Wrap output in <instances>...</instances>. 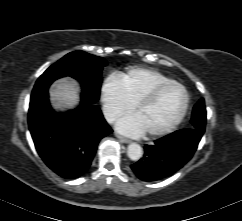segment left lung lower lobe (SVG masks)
Here are the masks:
<instances>
[{"label": "left lung lower lobe", "instance_id": "left-lung-lower-lobe-1", "mask_svg": "<svg viewBox=\"0 0 242 221\" xmlns=\"http://www.w3.org/2000/svg\"><path fill=\"white\" fill-rule=\"evenodd\" d=\"M203 133L194 128L183 129L145 145L143 158L131 165L132 171L143 181L174 174L192 158Z\"/></svg>", "mask_w": 242, "mask_h": 221}]
</instances>
